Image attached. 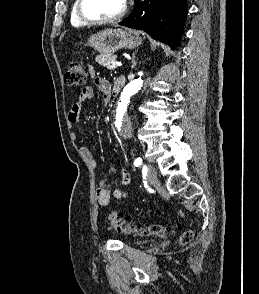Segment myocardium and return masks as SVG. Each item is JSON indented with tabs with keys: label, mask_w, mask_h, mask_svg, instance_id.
<instances>
[{
	"label": "myocardium",
	"mask_w": 259,
	"mask_h": 294,
	"mask_svg": "<svg viewBox=\"0 0 259 294\" xmlns=\"http://www.w3.org/2000/svg\"><path fill=\"white\" fill-rule=\"evenodd\" d=\"M84 2L85 0H77V5H76V13L79 18V20L84 23L85 25H90V26H97V25H106V24H112L116 23L117 21L121 20L127 10H128V5L127 2L124 0V5L121 11L116 14L113 17L105 18V19H93L88 17L85 12H84Z\"/></svg>",
	"instance_id": "f54148a6"
}]
</instances>
